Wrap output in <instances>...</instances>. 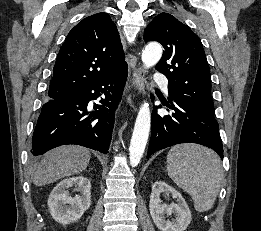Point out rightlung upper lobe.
Masks as SVG:
<instances>
[{
    "label": "right lung upper lobe",
    "instance_id": "obj_1",
    "mask_svg": "<svg viewBox=\"0 0 261 231\" xmlns=\"http://www.w3.org/2000/svg\"><path fill=\"white\" fill-rule=\"evenodd\" d=\"M126 66L116 25L107 13L94 14L71 29L60 48L48 96L75 94Z\"/></svg>",
    "mask_w": 261,
    "mask_h": 231
}]
</instances>
